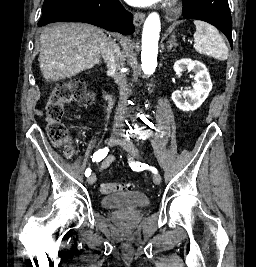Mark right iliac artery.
Segmentation results:
<instances>
[{"label": "right iliac artery", "instance_id": "1", "mask_svg": "<svg viewBox=\"0 0 256 267\" xmlns=\"http://www.w3.org/2000/svg\"><path fill=\"white\" fill-rule=\"evenodd\" d=\"M108 151H109V149L107 147H105L104 149H100V150L96 151L93 154V159L92 160L96 161V162L101 161L102 159H104L106 157V155L108 154ZM90 174H91V169L87 168L86 171H85V176L89 177Z\"/></svg>", "mask_w": 256, "mask_h": 267}]
</instances>
